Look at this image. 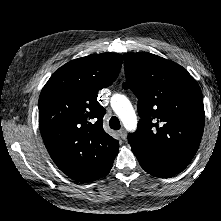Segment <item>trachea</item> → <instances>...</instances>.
<instances>
[{"label":"trachea","instance_id":"trachea-1","mask_svg":"<svg viewBox=\"0 0 221 221\" xmlns=\"http://www.w3.org/2000/svg\"><path fill=\"white\" fill-rule=\"evenodd\" d=\"M109 125L111 129L119 130L120 129V121L116 116H112L109 120Z\"/></svg>","mask_w":221,"mask_h":221}]
</instances>
